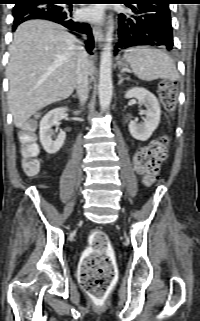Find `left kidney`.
<instances>
[{
  "label": "left kidney",
  "instance_id": "left-kidney-1",
  "mask_svg": "<svg viewBox=\"0 0 200 321\" xmlns=\"http://www.w3.org/2000/svg\"><path fill=\"white\" fill-rule=\"evenodd\" d=\"M135 97L140 105H144L146 110H141L140 114L146 115L143 123L130 121L129 131L131 135L139 140H148L158 127L161 116V109L155 95L144 88L134 87L125 93V98Z\"/></svg>",
  "mask_w": 200,
  "mask_h": 321
}]
</instances>
